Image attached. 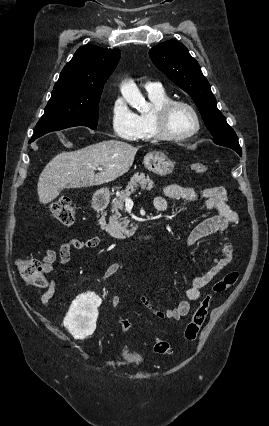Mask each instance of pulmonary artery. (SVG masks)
<instances>
[{"label":"pulmonary artery","mask_w":269,"mask_h":426,"mask_svg":"<svg viewBox=\"0 0 269 426\" xmlns=\"http://www.w3.org/2000/svg\"><path fill=\"white\" fill-rule=\"evenodd\" d=\"M145 89L148 92L160 93L163 91V87L160 83L157 82H149L145 84Z\"/></svg>","instance_id":"e3ab8cb5"}]
</instances>
